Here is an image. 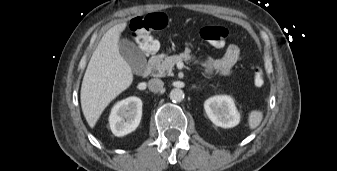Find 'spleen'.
I'll return each mask as SVG.
<instances>
[{"label":"spleen","instance_id":"3e777b00","mask_svg":"<svg viewBox=\"0 0 337 171\" xmlns=\"http://www.w3.org/2000/svg\"><path fill=\"white\" fill-rule=\"evenodd\" d=\"M263 119V113L259 110H252L248 115V125L251 130L257 128Z\"/></svg>","mask_w":337,"mask_h":171}]
</instances>
